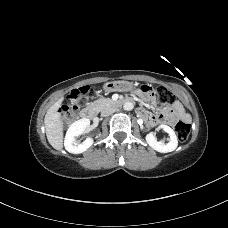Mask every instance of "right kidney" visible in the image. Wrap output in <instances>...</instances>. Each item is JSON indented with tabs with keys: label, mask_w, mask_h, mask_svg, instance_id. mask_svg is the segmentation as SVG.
<instances>
[{
	"label": "right kidney",
	"mask_w": 228,
	"mask_h": 228,
	"mask_svg": "<svg viewBox=\"0 0 228 228\" xmlns=\"http://www.w3.org/2000/svg\"><path fill=\"white\" fill-rule=\"evenodd\" d=\"M89 125H90V120L88 118H82L70 125L64 140L65 149L69 153H73V154L83 153L93 144L94 141L92 138H86V140L83 141L82 143H78L76 141V137L81 135L85 131V129L89 127Z\"/></svg>",
	"instance_id": "1"
}]
</instances>
